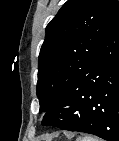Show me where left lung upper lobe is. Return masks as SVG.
<instances>
[{
    "label": "left lung upper lobe",
    "instance_id": "5c2ea615",
    "mask_svg": "<svg viewBox=\"0 0 119 141\" xmlns=\"http://www.w3.org/2000/svg\"><path fill=\"white\" fill-rule=\"evenodd\" d=\"M119 15L117 0H68L46 27L38 63L39 112H47L94 58Z\"/></svg>",
    "mask_w": 119,
    "mask_h": 141
}]
</instances>
